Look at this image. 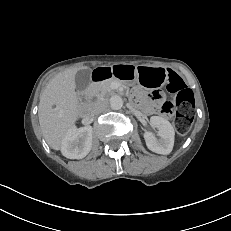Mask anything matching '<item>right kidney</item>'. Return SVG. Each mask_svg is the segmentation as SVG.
<instances>
[{
    "mask_svg": "<svg viewBox=\"0 0 231 231\" xmlns=\"http://www.w3.org/2000/svg\"><path fill=\"white\" fill-rule=\"evenodd\" d=\"M92 147V127H72L62 140L61 152L69 159H82Z\"/></svg>",
    "mask_w": 231,
    "mask_h": 231,
    "instance_id": "ca27d5eb",
    "label": "right kidney"
}]
</instances>
